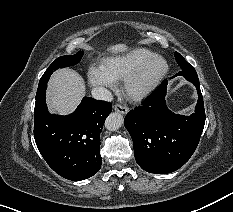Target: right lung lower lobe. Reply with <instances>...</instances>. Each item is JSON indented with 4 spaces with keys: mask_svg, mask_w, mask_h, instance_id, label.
<instances>
[{
    "mask_svg": "<svg viewBox=\"0 0 233 212\" xmlns=\"http://www.w3.org/2000/svg\"><path fill=\"white\" fill-rule=\"evenodd\" d=\"M36 96L34 138L48 165L60 176L79 181L100 170V132L111 113V103L84 97L70 115L48 112L45 90Z\"/></svg>",
    "mask_w": 233,
    "mask_h": 212,
    "instance_id": "1",
    "label": "right lung lower lobe"
}]
</instances>
